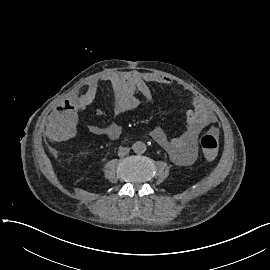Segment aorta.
<instances>
[{
  "mask_svg": "<svg viewBox=\"0 0 270 270\" xmlns=\"http://www.w3.org/2000/svg\"><path fill=\"white\" fill-rule=\"evenodd\" d=\"M132 150L137 154H142L146 151V145L142 141H137L132 144Z\"/></svg>",
  "mask_w": 270,
  "mask_h": 270,
  "instance_id": "1",
  "label": "aorta"
}]
</instances>
